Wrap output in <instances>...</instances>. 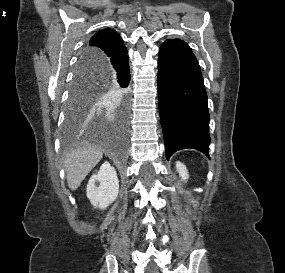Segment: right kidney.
Segmentation results:
<instances>
[{
	"label": "right kidney",
	"mask_w": 285,
	"mask_h": 273,
	"mask_svg": "<svg viewBox=\"0 0 285 273\" xmlns=\"http://www.w3.org/2000/svg\"><path fill=\"white\" fill-rule=\"evenodd\" d=\"M119 180L116 170L105 162L100 170L93 174L87 185V197L91 204L99 209L107 208L118 196Z\"/></svg>",
	"instance_id": "obj_1"
}]
</instances>
